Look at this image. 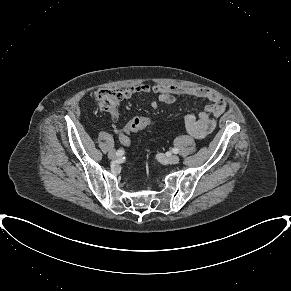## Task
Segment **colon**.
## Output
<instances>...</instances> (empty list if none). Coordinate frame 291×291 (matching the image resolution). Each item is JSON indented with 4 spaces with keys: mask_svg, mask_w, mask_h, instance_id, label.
Masks as SVG:
<instances>
[{
    "mask_svg": "<svg viewBox=\"0 0 291 291\" xmlns=\"http://www.w3.org/2000/svg\"><path fill=\"white\" fill-rule=\"evenodd\" d=\"M124 90L119 88L102 89L96 92L95 102L97 106L103 110L108 111L117 106L119 101L123 98ZM152 120L146 116H137L132 118L124 128L120 135V142L129 146L130 134L152 125Z\"/></svg>",
    "mask_w": 291,
    "mask_h": 291,
    "instance_id": "colon-1",
    "label": "colon"
}]
</instances>
